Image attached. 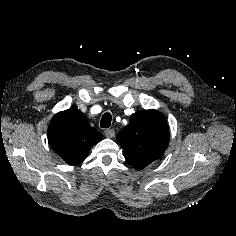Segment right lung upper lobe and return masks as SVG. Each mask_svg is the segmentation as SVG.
<instances>
[{"mask_svg": "<svg viewBox=\"0 0 236 236\" xmlns=\"http://www.w3.org/2000/svg\"><path fill=\"white\" fill-rule=\"evenodd\" d=\"M102 139L83 113L70 108L54 115L48 127V140L53 150L69 165L84 161L90 148Z\"/></svg>", "mask_w": 236, "mask_h": 236, "instance_id": "1", "label": "right lung upper lobe"}]
</instances>
